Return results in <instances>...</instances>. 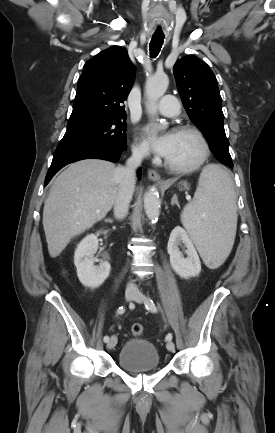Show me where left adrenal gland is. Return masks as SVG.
Returning <instances> with one entry per match:
<instances>
[{
  "label": "left adrenal gland",
  "instance_id": "a2214340",
  "mask_svg": "<svg viewBox=\"0 0 275 433\" xmlns=\"http://www.w3.org/2000/svg\"><path fill=\"white\" fill-rule=\"evenodd\" d=\"M176 204L179 207V203H178V198L176 196V194L173 195L172 200H171V205Z\"/></svg>",
  "mask_w": 275,
  "mask_h": 433
}]
</instances>
